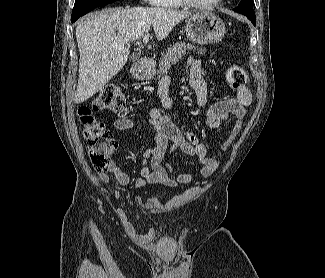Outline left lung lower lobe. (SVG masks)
Here are the masks:
<instances>
[{
  "label": "left lung lower lobe",
  "mask_w": 325,
  "mask_h": 278,
  "mask_svg": "<svg viewBox=\"0 0 325 278\" xmlns=\"http://www.w3.org/2000/svg\"><path fill=\"white\" fill-rule=\"evenodd\" d=\"M253 5V0H243L239 3V6L234 9V11L245 15L254 25H256V16L252 8Z\"/></svg>",
  "instance_id": "obj_1"
}]
</instances>
